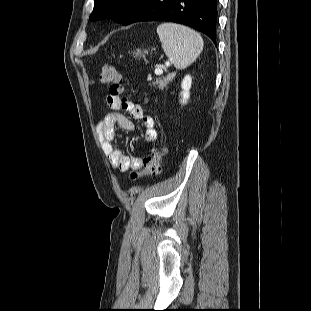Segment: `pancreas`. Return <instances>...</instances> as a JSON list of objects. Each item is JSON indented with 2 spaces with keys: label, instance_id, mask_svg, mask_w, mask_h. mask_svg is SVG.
I'll return each mask as SVG.
<instances>
[{
  "label": "pancreas",
  "instance_id": "obj_1",
  "mask_svg": "<svg viewBox=\"0 0 311 311\" xmlns=\"http://www.w3.org/2000/svg\"><path fill=\"white\" fill-rule=\"evenodd\" d=\"M154 84L157 85L159 89L163 90L167 83L165 80L157 79Z\"/></svg>",
  "mask_w": 311,
  "mask_h": 311
}]
</instances>
